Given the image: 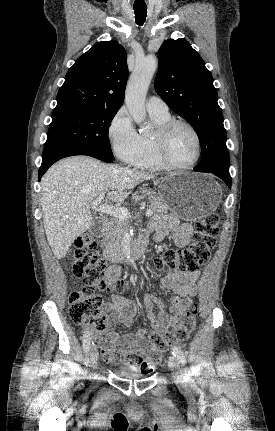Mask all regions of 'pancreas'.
I'll return each instance as SVG.
<instances>
[{
    "label": "pancreas",
    "mask_w": 275,
    "mask_h": 431,
    "mask_svg": "<svg viewBox=\"0 0 275 431\" xmlns=\"http://www.w3.org/2000/svg\"><path fill=\"white\" fill-rule=\"evenodd\" d=\"M142 193H145L148 196L150 207L156 214L167 213V211L169 210L168 205L161 197L157 196L156 192H154L153 190H143ZM126 225L127 220L114 217L106 227L102 244L106 248L118 247L121 235Z\"/></svg>",
    "instance_id": "1"
}]
</instances>
